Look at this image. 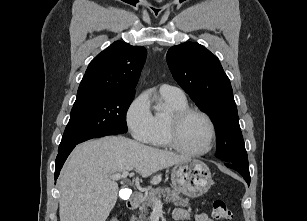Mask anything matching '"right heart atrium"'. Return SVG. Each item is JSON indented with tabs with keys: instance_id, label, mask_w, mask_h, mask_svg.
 <instances>
[{
	"instance_id": "1",
	"label": "right heart atrium",
	"mask_w": 307,
	"mask_h": 221,
	"mask_svg": "<svg viewBox=\"0 0 307 221\" xmlns=\"http://www.w3.org/2000/svg\"><path fill=\"white\" fill-rule=\"evenodd\" d=\"M152 118L149 101L145 94L135 97L125 113L131 135L138 141L149 143L152 133Z\"/></svg>"
}]
</instances>
